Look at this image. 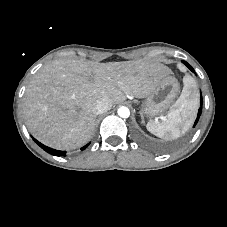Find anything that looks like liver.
Segmentation results:
<instances>
[{"mask_svg": "<svg viewBox=\"0 0 227 227\" xmlns=\"http://www.w3.org/2000/svg\"><path fill=\"white\" fill-rule=\"evenodd\" d=\"M172 71L153 61L97 63L55 60L43 66L23 96L29 131L43 144L75 149L86 144L95 127V102L118 104L128 95L147 97Z\"/></svg>", "mask_w": 227, "mask_h": 227, "instance_id": "1", "label": "liver"}]
</instances>
